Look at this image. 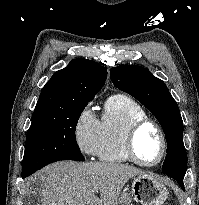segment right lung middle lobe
I'll use <instances>...</instances> for the list:
<instances>
[{
    "mask_svg": "<svg viewBox=\"0 0 199 205\" xmlns=\"http://www.w3.org/2000/svg\"><path fill=\"white\" fill-rule=\"evenodd\" d=\"M91 100L56 105L33 113L26 136L22 176L59 160L85 161L76 142L75 129Z\"/></svg>",
    "mask_w": 199,
    "mask_h": 205,
    "instance_id": "obj_1",
    "label": "right lung middle lobe"
}]
</instances>
